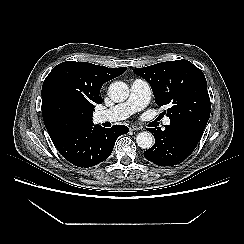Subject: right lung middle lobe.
Here are the masks:
<instances>
[{
    "label": "right lung middle lobe",
    "instance_id": "right-lung-middle-lobe-1",
    "mask_svg": "<svg viewBox=\"0 0 244 244\" xmlns=\"http://www.w3.org/2000/svg\"><path fill=\"white\" fill-rule=\"evenodd\" d=\"M51 117L60 129H70L81 119V113L62 99H56L51 106Z\"/></svg>",
    "mask_w": 244,
    "mask_h": 244
}]
</instances>
